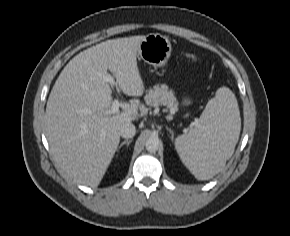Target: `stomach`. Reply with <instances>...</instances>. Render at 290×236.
Masks as SVG:
<instances>
[{
	"label": "stomach",
	"instance_id": "0dacf381",
	"mask_svg": "<svg viewBox=\"0 0 290 236\" xmlns=\"http://www.w3.org/2000/svg\"><path fill=\"white\" fill-rule=\"evenodd\" d=\"M171 43L168 37L159 33H150L140 43L138 58L154 67H164L171 55ZM192 100L184 97L182 105L188 107Z\"/></svg>",
	"mask_w": 290,
	"mask_h": 236
}]
</instances>
